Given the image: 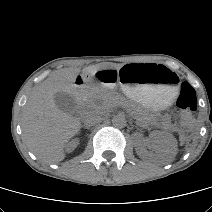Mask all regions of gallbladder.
I'll list each match as a JSON object with an SVG mask.
<instances>
[{
    "mask_svg": "<svg viewBox=\"0 0 212 212\" xmlns=\"http://www.w3.org/2000/svg\"><path fill=\"white\" fill-rule=\"evenodd\" d=\"M54 101L58 109L65 113L72 114L75 110L76 101L72 94L57 92L54 95Z\"/></svg>",
    "mask_w": 212,
    "mask_h": 212,
    "instance_id": "gallbladder-1",
    "label": "gallbladder"
}]
</instances>
